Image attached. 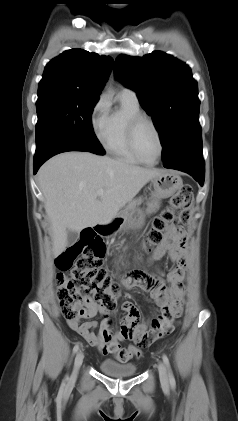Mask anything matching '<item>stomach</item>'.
I'll list each match as a JSON object with an SVG mask.
<instances>
[{
  "mask_svg": "<svg viewBox=\"0 0 238 421\" xmlns=\"http://www.w3.org/2000/svg\"><path fill=\"white\" fill-rule=\"evenodd\" d=\"M153 186L151 198H168L180 190L183 186L182 178L174 171L164 170L161 174L150 180ZM144 224V213L140 208H133L123 220H117L110 226V232L121 229H138Z\"/></svg>",
  "mask_w": 238,
  "mask_h": 421,
  "instance_id": "1",
  "label": "stomach"
}]
</instances>
